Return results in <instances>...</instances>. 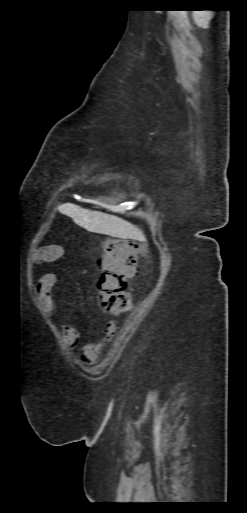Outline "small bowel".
I'll return each mask as SVG.
<instances>
[{"label": "small bowel", "mask_w": 247, "mask_h": 513, "mask_svg": "<svg viewBox=\"0 0 247 513\" xmlns=\"http://www.w3.org/2000/svg\"><path fill=\"white\" fill-rule=\"evenodd\" d=\"M60 249L57 246H48L39 250L32 258V264L37 265L54 260ZM57 284V277L54 274H45L37 281L35 287V296L44 313L48 317H52L55 312V305L52 298V291ZM117 326L114 322H110L104 330L103 340L100 342L90 343L84 347L83 357L85 360H94L103 350L105 343L110 341L116 334ZM63 343L67 348L75 346L79 340V332L70 325L63 328Z\"/></svg>", "instance_id": "small-bowel-1"}]
</instances>
